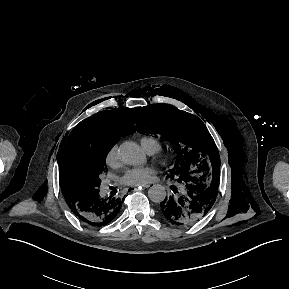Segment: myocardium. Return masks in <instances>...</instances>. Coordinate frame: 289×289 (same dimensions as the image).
Wrapping results in <instances>:
<instances>
[{"label":"myocardium","mask_w":289,"mask_h":289,"mask_svg":"<svg viewBox=\"0 0 289 289\" xmlns=\"http://www.w3.org/2000/svg\"><path fill=\"white\" fill-rule=\"evenodd\" d=\"M157 161L159 162L160 165L162 166H169L172 162V157L169 155H158L156 157Z\"/></svg>","instance_id":"myocardium-1"}]
</instances>
